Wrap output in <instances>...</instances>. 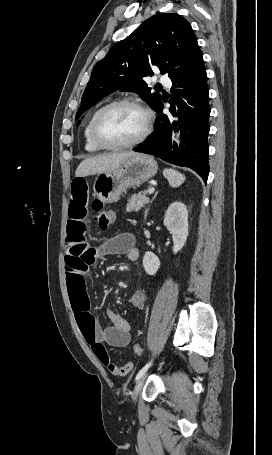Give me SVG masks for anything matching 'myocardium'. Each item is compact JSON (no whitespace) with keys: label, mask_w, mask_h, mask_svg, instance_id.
<instances>
[{"label":"myocardium","mask_w":272,"mask_h":455,"mask_svg":"<svg viewBox=\"0 0 272 455\" xmlns=\"http://www.w3.org/2000/svg\"><path fill=\"white\" fill-rule=\"evenodd\" d=\"M120 105H129L132 107H135L138 109L144 116V127L140 135L135 138L134 140L127 142V143H122V144H109L101 139L98 133V122L101 118V116L109 109L115 107V106H120ZM151 126H152V117L150 111L138 100L134 98H118L115 99L101 108H99L95 114L92 117L91 123H90V136L93 141V143L100 149L102 150H109V151H118V150H125V149H130L133 147L138 146L142 142L146 140V138L149 136L151 132Z\"/></svg>","instance_id":"obj_1"}]
</instances>
